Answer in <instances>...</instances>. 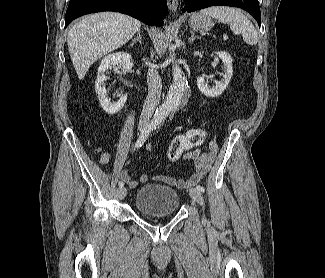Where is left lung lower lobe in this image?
<instances>
[{"instance_id": "1", "label": "left lung lower lobe", "mask_w": 325, "mask_h": 278, "mask_svg": "<svg viewBox=\"0 0 325 278\" xmlns=\"http://www.w3.org/2000/svg\"><path fill=\"white\" fill-rule=\"evenodd\" d=\"M219 5L239 7L248 11L257 20L260 27L261 13L258 0H185V8L182 11L193 12L198 9Z\"/></svg>"}]
</instances>
